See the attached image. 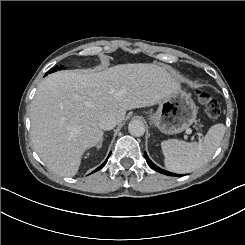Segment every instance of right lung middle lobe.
Instances as JSON below:
<instances>
[{
  "label": "right lung middle lobe",
  "mask_w": 245,
  "mask_h": 245,
  "mask_svg": "<svg viewBox=\"0 0 245 245\" xmlns=\"http://www.w3.org/2000/svg\"><path fill=\"white\" fill-rule=\"evenodd\" d=\"M58 69H59L58 67H55L54 69H51L48 73L55 72V71H57ZM60 69H61V68H60ZM48 73H46V75H47Z\"/></svg>",
  "instance_id": "obj_1"
}]
</instances>
